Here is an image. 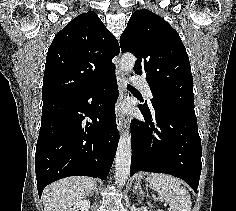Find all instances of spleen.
<instances>
[{
	"instance_id": "3e777b00",
	"label": "spleen",
	"mask_w": 236,
	"mask_h": 211,
	"mask_svg": "<svg viewBox=\"0 0 236 211\" xmlns=\"http://www.w3.org/2000/svg\"><path fill=\"white\" fill-rule=\"evenodd\" d=\"M147 181L166 201L171 211H191V199L188 191L181 186L178 178L167 174L151 173Z\"/></svg>"
}]
</instances>
